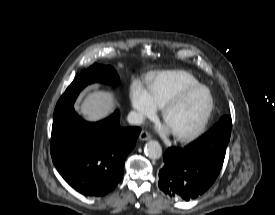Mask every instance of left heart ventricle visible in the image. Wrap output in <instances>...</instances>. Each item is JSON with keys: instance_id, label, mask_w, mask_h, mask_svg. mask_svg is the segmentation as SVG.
Wrapping results in <instances>:
<instances>
[{"instance_id": "b2bd125f", "label": "left heart ventricle", "mask_w": 275, "mask_h": 215, "mask_svg": "<svg viewBox=\"0 0 275 215\" xmlns=\"http://www.w3.org/2000/svg\"><path fill=\"white\" fill-rule=\"evenodd\" d=\"M209 107L206 90L199 89L187 95L167 116L166 124L172 133H185L196 127Z\"/></svg>"}]
</instances>
